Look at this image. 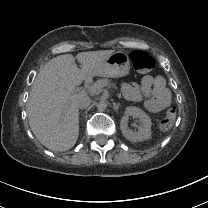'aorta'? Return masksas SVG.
Returning a JSON list of instances; mask_svg holds the SVG:
<instances>
[{"mask_svg": "<svg viewBox=\"0 0 208 208\" xmlns=\"http://www.w3.org/2000/svg\"><path fill=\"white\" fill-rule=\"evenodd\" d=\"M97 109L100 111H104L106 109V105L102 102L97 104Z\"/></svg>", "mask_w": 208, "mask_h": 208, "instance_id": "1", "label": "aorta"}]
</instances>
